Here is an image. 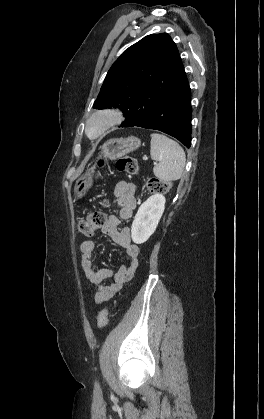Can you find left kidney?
I'll use <instances>...</instances> for the list:
<instances>
[{
	"instance_id": "1",
	"label": "left kidney",
	"mask_w": 264,
	"mask_h": 419,
	"mask_svg": "<svg viewBox=\"0 0 264 419\" xmlns=\"http://www.w3.org/2000/svg\"><path fill=\"white\" fill-rule=\"evenodd\" d=\"M165 202L162 194H154L141 204L131 226L134 243L142 244L154 233L164 212Z\"/></svg>"
}]
</instances>
